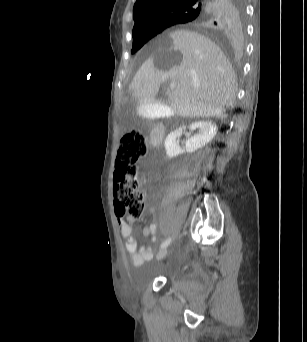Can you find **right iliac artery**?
Here are the masks:
<instances>
[{"label":"right iliac artery","mask_w":307,"mask_h":342,"mask_svg":"<svg viewBox=\"0 0 307 342\" xmlns=\"http://www.w3.org/2000/svg\"><path fill=\"white\" fill-rule=\"evenodd\" d=\"M171 242V238L166 239L160 246L161 249L167 247Z\"/></svg>","instance_id":"right-iliac-artery-1"}]
</instances>
